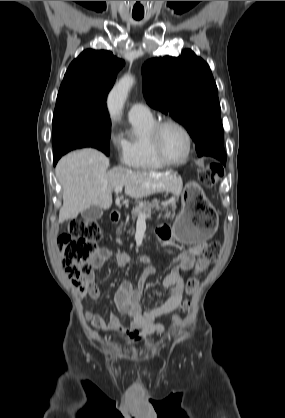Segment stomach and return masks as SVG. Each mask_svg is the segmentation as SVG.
<instances>
[{
  "instance_id": "1",
  "label": "stomach",
  "mask_w": 285,
  "mask_h": 418,
  "mask_svg": "<svg viewBox=\"0 0 285 418\" xmlns=\"http://www.w3.org/2000/svg\"><path fill=\"white\" fill-rule=\"evenodd\" d=\"M181 204L173 223L174 238L187 245L210 239L217 230L216 211L197 184L191 182L186 186Z\"/></svg>"
}]
</instances>
